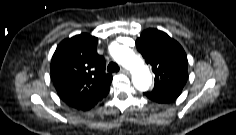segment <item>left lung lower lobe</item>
Listing matches in <instances>:
<instances>
[{
    "label": "left lung lower lobe",
    "mask_w": 236,
    "mask_h": 135,
    "mask_svg": "<svg viewBox=\"0 0 236 135\" xmlns=\"http://www.w3.org/2000/svg\"><path fill=\"white\" fill-rule=\"evenodd\" d=\"M183 87H174L161 90H153L152 92H146L144 95L152 101L158 103H170L174 101L182 92Z\"/></svg>",
    "instance_id": "left-lung-lower-lobe-1"
}]
</instances>
